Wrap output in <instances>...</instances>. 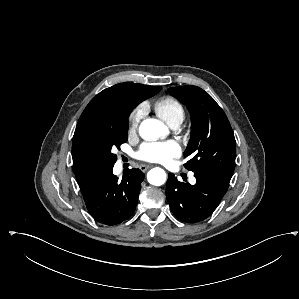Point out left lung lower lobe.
I'll return each instance as SVG.
<instances>
[{
	"mask_svg": "<svg viewBox=\"0 0 299 299\" xmlns=\"http://www.w3.org/2000/svg\"><path fill=\"white\" fill-rule=\"evenodd\" d=\"M196 184L182 183L169 173L166 197L173 214L181 221L196 223L205 220L227 192L229 180L209 171H196Z\"/></svg>",
	"mask_w": 299,
	"mask_h": 299,
	"instance_id": "0a47b994",
	"label": "left lung lower lobe"
}]
</instances>
